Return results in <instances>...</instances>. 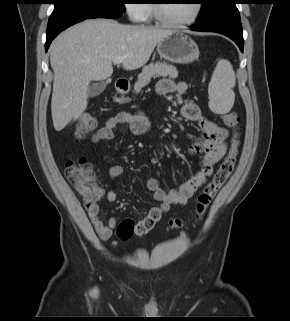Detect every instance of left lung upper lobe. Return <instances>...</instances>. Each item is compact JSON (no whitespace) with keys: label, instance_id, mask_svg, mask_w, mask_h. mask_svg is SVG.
Segmentation results:
<instances>
[{"label":"left lung upper lobe","instance_id":"left-lung-upper-lobe-1","mask_svg":"<svg viewBox=\"0 0 290 321\" xmlns=\"http://www.w3.org/2000/svg\"><path fill=\"white\" fill-rule=\"evenodd\" d=\"M237 2L238 0H200L202 7L197 22L208 20Z\"/></svg>","mask_w":290,"mask_h":321}]
</instances>
